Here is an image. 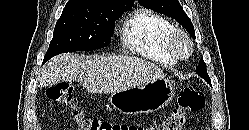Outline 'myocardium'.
Segmentation results:
<instances>
[{"label": "myocardium", "instance_id": "f54148a6", "mask_svg": "<svg viewBox=\"0 0 249 130\" xmlns=\"http://www.w3.org/2000/svg\"><path fill=\"white\" fill-rule=\"evenodd\" d=\"M180 41H184L188 46V52L182 55L177 50V44ZM165 49L167 53L176 61L187 60L193 53L194 44L190 36L181 29H174L167 37L165 41Z\"/></svg>", "mask_w": 249, "mask_h": 130}]
</instances>
